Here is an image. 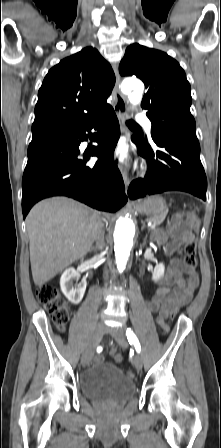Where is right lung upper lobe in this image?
Instances as JSON below:
<instances>
[{
	"instance_id": "1",
	"label": "right lung upper lobe",
	"mask_w": 221,
	"mask_h": 448,
	"mask_svg": "<svg viewBox=\"0 0 221 448\" xmlns=\"http://www.w3.org/2000/svg\"><path fill=\"white\" fill-rule=\"evenodd\" d=\"M114 84L110 64L93 47L61 60L39 89L32 142L82 124L109 107L106 99Z\"/></svg>"
}]
</instances>
